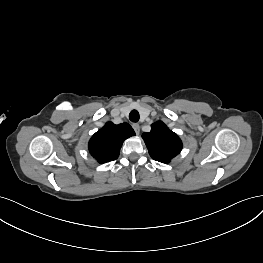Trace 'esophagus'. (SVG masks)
Instances as JSON below:
<instances>
[{
	"instance_id": "34e87169",
	"label": "esophagus",
	"mask_w": 263,
	"mask_h": 263,
	"mask_svg": "<svg viewBox=\"0 0 263 263\" xmlns=\"http://www.w3.org/2000/svg\"><path fill=\"white\" fill-rule=\"evenodd\" d=\"M132 127H133L135 133L137 135H139V133H140V126H139V124L135 123V124L132 125Z\"/></svg>"
}]
</instances>
